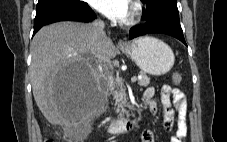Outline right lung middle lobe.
Masks as SVG:
<instances>
[{
    "label": "right lung middle lobe",
    "instance_id": "obj_1",
    "mask_svg": "<svg viewBox=\"0 0 227 142\" xmlns=\"http://www.w3.org/2000/svg\"><path fill=\"white\" fill-rule=\"evenodd\" d=\"M86 4L82 0H38L36 11H43L61 7H76Z\"/></svg>",
    "mask_w": 227,
    "mask_h": 142
}]
</instances>
